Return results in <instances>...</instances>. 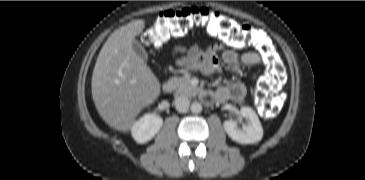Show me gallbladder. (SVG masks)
<instances>
[{"mask_svg":"<svg viewBox=\"0 0 365 180\" xmlns=\"http://www.w3.org/2000/svg\"><path fill=\"white\" fill-rule=\"evenodd\" d=\"M132 49L139 58H141L143 61H148V54L138 41L133 40Z\"/></svg>","mask_w":365,"mask_h":180,"instance_id":"bac80fb5","label":"gallbladder"}]
</instances>
